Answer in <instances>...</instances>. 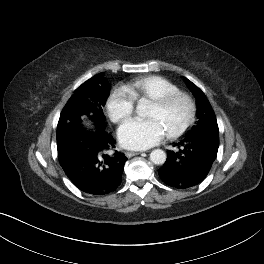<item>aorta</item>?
<instances>
[{"label": "aorta", "instance_id": "obj_1", "mask_svg": "<svg viewBox=\"0 0 264 264\" xmlns=\"http://www.w3.org/2000/svg\"><path fill=\"white\" fill-rule=\"evenodd\" d=\"M136 112L139 116H145L146 114V105L139 103L136 107ZM166 153L161 149H155L150 153V160L156 165H162L166 161Z\"/></svg>", "mask_w": 264, "mask_h": 264}]
</instances>
